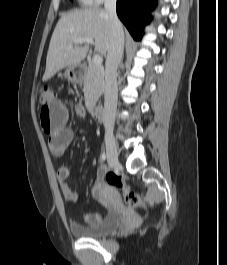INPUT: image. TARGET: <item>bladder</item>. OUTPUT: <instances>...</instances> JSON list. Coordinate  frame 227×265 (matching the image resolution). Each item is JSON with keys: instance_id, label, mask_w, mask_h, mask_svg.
Segmentation results:
<instances>
[{"instance_id": "31cf9c89", "label": "bladder", "mask_w": 227, "mask_h": 265, "mask_svg": "<svg viewBox=\"0 0 227 265\" xmlns=\"http://www.w3.org/2000/svg\"><path fill=\"white\" fill-rule=\"evenodd\" d=\"M120 223V216L115 212H109L96 226H85L73 222L70 224V231L78 238L99 239L116 230Z\"/></svg>"}]
</instances>
